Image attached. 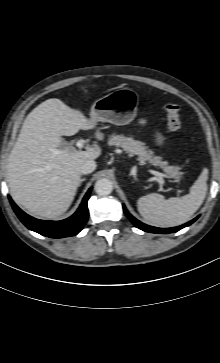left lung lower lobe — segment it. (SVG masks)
<instances>
[{
    "label": "left lung lower lobe",
    "mask_w": 220,
    "mask_h": 363,
    "mask_svg": "<svg viewBox=\"0 0 220 363\" xmlns=\"http://www.w3.org/2000/svg\"><path fill=\"white\" fill-rule=\"evenodd\" d=\"M123 209H124V213L127 215V217L130 219V221L139 229L146 231V232H151V233H158V234H167V233H173V232H177L180 229L189 226L190 224H192L197 218L191 220L190 222L178 226V227H174V228H167V229H162V228H156V227H152V226H148L146 224H143L142 222L138 221L136 218H134L125 208V206L123 205Z\"/></svg>",
    "instance_id": "0a47b994"
}]
</instances>
